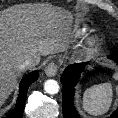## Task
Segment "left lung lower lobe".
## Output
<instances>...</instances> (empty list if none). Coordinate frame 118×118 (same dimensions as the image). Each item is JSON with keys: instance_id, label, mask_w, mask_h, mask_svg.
<instances>
[{"instance_id": "0a47b994", "label": "left lung lower lobe", "mask_w": 118, "mask_h": 118, "mask_svg": "<svg viewBox=\"0 0 118 118\" xmlns=\"http://www.w3.org/2000/svg\"><path fill=\"white\" fill-rule=\"evenodd\" d=\"M118 64V54L109 57ZM84 70V64H74L68 66L62 77V110L64 118H81L74 106L75 86ZM110 118H118V108L110 116Z\"/></svg>"}]
</instances>
